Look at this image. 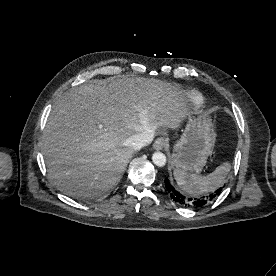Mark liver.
I'll return each instance as SVG.
<instances>
[{
  "label": "liver",
  "mask_w": 276,
  "mask_h": 276,
  "mask_svg": "<svg viewBox=\"0 0 276 276\" xmlns=\"http://www.w3.org/2000/svg\"><path fill=\"white\" fill-rule=\"evenodd\" d=\"M189 115L182 90L158 79L122 75L71 88L54 103L43 135L49 178L73 198L97 197L124 173L131 136L177 129Z\"/></svg>",
  "instance_id": "obj_1"
}]
</instances>
